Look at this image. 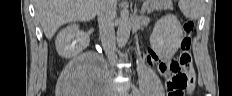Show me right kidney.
Instances as JSON below:
<instances>
[{
    "label": "right kidney",
    "instance_id": "obj_1",
    "mask_svg": "<svg viewBox=\"0 0 232 96\" xmlns=\"http://www.w3.org/2000/svg\"><path fill=\"white\" fill-rule=\"evenodd\" d=\"M88 43L89 36L80 31L76 24L61 30L55 41L57 52L63 58L76 57L88 46Z\"/></svg>",
    "mask_w": 232,
    "mask_h": 96
}]
</instances>
